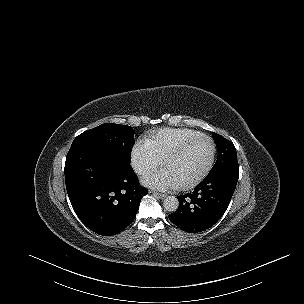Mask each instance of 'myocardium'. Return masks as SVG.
I'll return each mask as SVG.
<instances>
[{"label":"myocardium","mask_w":304,"mask_h":304,"mask_svg":"<svg viewBox=\"0 0 304 304\" xmlns=\"http://www.w3.org/2000/svg\"><path fill=\"white\" fill-rule=\"evenodd\" d=\"M207 140L210 145H211V152H210V157L205 165V167L202 169V171L195 177L193 178L191 181L189 182H184V183H180L178 184V187L180 189H189L192 188L194 186H196L197 184H199L205 177L206 175L209 173V171L212 168V165L214 163V158H215V153H216V145L215 142L213 141V139L209 136L206 135H201L198 136L182 145H180L179 147H177L174 151H172L164 160L162 168L164 171H167L168 165L170 164L171 161H173L175 158H177L179 155H181L184 151H186L187 149H189L191 146L201 142Z\"/></svg>","instance_id":"myocardium-1"}]
</instances>
